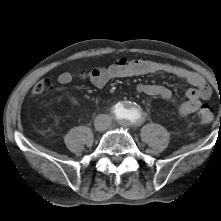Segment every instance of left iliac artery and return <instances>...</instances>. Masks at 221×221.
<instances>
[{
  "instance_id": "1",
  "label": "left iliac artery",
  "mask_w": 221,
  "mask_h": 221,
  "mask_svg": "<svg viewBox=\"0 0 221 221\" xmlns=\"http://www.w3.org/2000/svg\"><path fill=\"white\" fill-rule=\"evenodd\" d=\"M142 114L139 110L134 109L132 110L127 116L126 118L130 121V122H138L141 120Z\"/></svg>"
}]
</instances>
